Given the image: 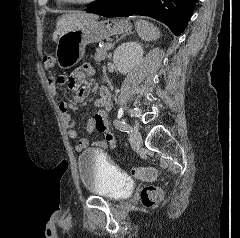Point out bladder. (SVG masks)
Here are the masks:
<instances>
[{"label":"bladder","instance_id":"31cf9c89","mask_svg":"<svg viewBox=\"0 0 240 238\" xmlns=\"http://www.w3.org/2000/svg\"><path fill=\"white\" fill-rule=\"evenodd\" d=\"M77 165L82 186L93 195L119 201L132 192V180L97 149L84 150Z\"/></svg>","mask_w":240,"mask_h":238}]
</instances>
